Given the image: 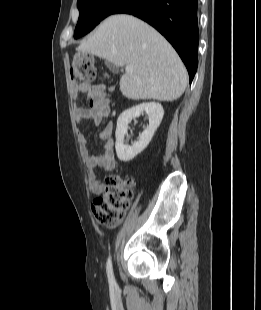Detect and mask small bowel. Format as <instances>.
Returning <instances> with one entry per match:
<instances>
[{
    "instance_id": "obj_1",
    "label": "small bowel",
    "mask_w": 261,
    "mask_h": 310,
    "mask_svg": "<svg viewBox=\"0 0 261 310\" xmlns=\"http://www.w3.org/2000/svg\"><path fill=\"white\" fill-rule=\"evenodd\" d=\"M73 94L76 96L84 94L89 104L87 108L76 107L75 117L77 121H91L92 124L97 127L109 116L110 101L103 84L96 86H90L88 84L76 85L73 87ZM112 132V123H108L100 131L99 139L103 141V145L98 154L90 153L85 136L82 133L78 134V141L88 174V185L93 194H101L104 192V185L98 179L95 170L97 168H102L110 172L116 167Z\"/></svg>"
}]
</instances>
